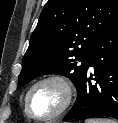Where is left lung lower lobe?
<instances>
[{
  "mask_svg": "<svg viewBox=\"0 0 118 123\" xmlns=\"http://www.w3.org/2000/svg\"><path fill=\"white\" fill-rule=\"evenodd\" d=\"M77 96L63 121L87 116L118 119V19L93 46Z\"/></svg>",
  "mask_w": 118,
  "mask_h": 123,
  "instance_id": "left-lung-lower-lobe-1",
  "label": "left lung lower lobe"
}]
</instances>
